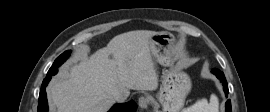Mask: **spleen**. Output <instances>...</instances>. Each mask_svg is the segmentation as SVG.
Segmentation results:
<instances>
[{
  "label": "spleen",
  "instance_id": "1",
  "mask_svg": "<svg viewBox=\"0 0 270 112\" xmlns=\"http://www.w3.org/2000/svg\"><path fill=\"white\" fill-rule=\"evenodd\" d=\"M219 101L216 95L212 94L210 101L203 98L193 105L183 109L181 112H218Z\"/></svg>",
  "mask_w": 270,
  "mask_h": 112
}]
</instances>
